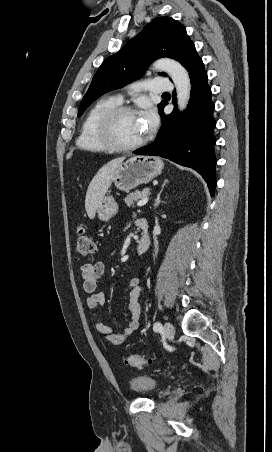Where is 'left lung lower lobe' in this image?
I'll return each mask as SVG.
<instances>
[{
	"label": "left lung lower lobe",
	"instance_id": "left-lung-lower-lobe-1",
	"mask_svg": "<svg viewBox=\"0 0 272 452\" xmlns=\"http://www.w3.org/2000/svg\"><path fill=\"white\" fill-rule=\"evenodd\" d=\"M182 65L189 72L192 85L187 109L182 114L174 110L171 114L165 115L163 108L167 103L164 102L160 110L163 125L156 141L134 153L161 156L182 166L193 168L205 179L213 196L216 184L214 104L207 83V73L195 46L189 50Z\"/></svg>",
	"mask_w": 272,
	"mask_h": 452
}]
</instances>
